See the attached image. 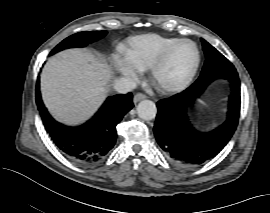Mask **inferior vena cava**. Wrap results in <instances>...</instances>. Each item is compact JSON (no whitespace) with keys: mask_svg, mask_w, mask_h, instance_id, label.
Listing matches in <instances>:
<instances>
[{"mask_svg":"<svg viewBox=\"0 0 270 213\" xmlns=\"http://www.w3.org/2000/svg\"><path fill=\"white\" fill-rule=\"evenodd\" d=\"M136 83L128 78H120L114 81L113 88L118 93H127L136 88Z\"/></svg>","mask_w":270,"mask_h":213,"instance_id":"obj_1","label":"inferior vena cava"}]
</instances>
